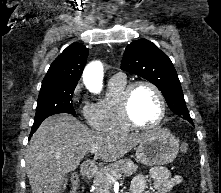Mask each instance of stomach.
Masks as SVG:
<instances>
[{"instance_id": "stomach-1", "label": "stomach", "mask_w": 221, "mask_h": 193, "mask_svg": "<svg viewBox=\"0 0 221 193\" xmlns=\"http://www.w3.org/2000/svg\"><path fill=\"white\" fill-rule=\"evenodd\" d=\"M179 151V140L168 130H156L136 147L137 160L147 166L173 162Z\"/></svg>"}]
</instances>
